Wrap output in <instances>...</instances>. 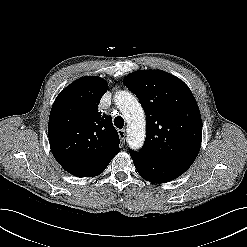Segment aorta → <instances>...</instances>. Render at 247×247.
Listing matches in <instances>:
<instances>
[{
	"label": "aorta",
	"mask_w": 247,
	"mask_h": 247,
	"mask_svg": "<svg viewBox=\"0 0 247 247\" xmlns=\"http://www.w3.org/2000/svg\"><path fill=\"white\" fill-rule=\"evenodd\" d=\"M115 103L127 122V142L133 150H139L145 139V115L137 99L128 91H118Z\"/></svg>",
	"instance_id": "762f6f07"
}]
</instances>
